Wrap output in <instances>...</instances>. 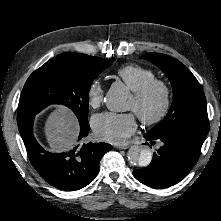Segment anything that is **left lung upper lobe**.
Masks as SVG:
<instances>
[{
  "instance_id": "5c2ea615",
  "label": "left lung upper lobe",
  "mask_w": 221,
  "mask_h": 221,
  "mask_svg": "<svg viewBox=\"0 0 221 221\" xmlns=\"http://www.w3.org/2000/svg\"><path fill=\"white\" fill-rule=\"evenodd\" d=\"M140 58L158 66L170 79L173 88V102L168 114L148 134L155 137L184 136L203 143L209 122L205 95L197 79L180 61L168 55L149 53Z\"/></svg>"
}]
</instances>
